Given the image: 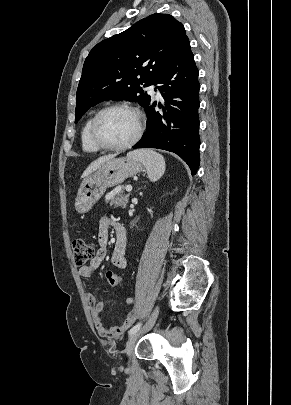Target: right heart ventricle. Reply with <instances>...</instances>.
I'll return each mask as SVG.
<instances>
[{
    "label": "right heart ventricle",
    "instance_id": "e07e8e85",
    "mask_svg": "<svg viewBox=\"0 0 291 405\" xmlns=\"http://www.w3.org/2000/svg\"><path fill=\"white\" fill-rule=\"evenodd\" d=\"M92 119L93 116H90L86 119L80 132L81 148L86 153H96L100 150L93 144V142L90 139L89 129Z\"/></svg>",
    "mask_w": 291,
    "mask_h": 405
}]
</instances>
